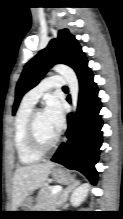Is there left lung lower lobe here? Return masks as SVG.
Listing matches in <instances>:
<instances>
[{"mask_svg":"<svg viewBox=\"0 0 123 219\" xmlns=\"http://www.w3.org/2000/svg\"><path fill=\"white\" fill-rule=\"evenodd\" d=\"M79 79L78 108L75 115H68L67 142L62 143L51 159L69 169L82 172L93 184L97 181L95 164L102 145L103 126L98 89L87 60L75 70ZM70 102V97L67 98Z\"/></svg>","mask_w":123,"mask_h":219,"instance_id":"obj_1","label":"left lung lower lobe"}]
</instances>
